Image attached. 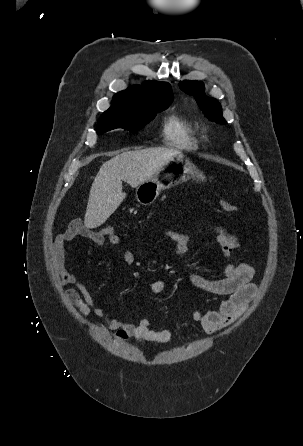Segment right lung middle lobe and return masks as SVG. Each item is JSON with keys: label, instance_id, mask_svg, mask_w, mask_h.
Wrapping results in <instances>:
<instances>
[{"label": "right lung middle lobe", "instance_id": "obj_1", "mask_svg": "<svg viewBox=\"0 0 303 446\" xmlns=\"http://www.w3.org/2000/svg\"><path fill=\"white\" fill-rule=\"evenodd\" d=\"M168 106L160 105L147 112L135 114L107 110L98 120L97 132L102 134L116 128H123L130 132L138 131L149 123L157 112L165 110Z\"/></svg>", "mask_w": 303, "mask_h": 446}]
</instances>
